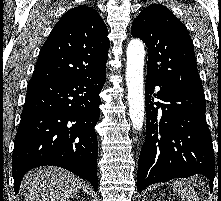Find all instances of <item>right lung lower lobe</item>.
I'll list each match as a JSON object with an SVG mask.
<instances>
[{"label": "right lung lower lobe", "instance_id": "98d812e1", "mask_svg": "<svg viewBox=\"0 0 221 201\" xmlns=\"http://www.w3.org/2000/svg\"><path fill=\"white\" fill-rule=\"evenodd\" d=\"M106 71L57 82L28 83L12 156L14 190L24 174L53 165L88 180L97 191L99 93Z\"/></svg>", "mask_w": 221, "mask_h": 201}]
</instances>
